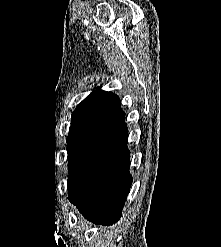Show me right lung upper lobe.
<instances>
[{
    "label": "right lung upper lobe",
    "instance_id": "1",
    "mask_svg": "<svg viewBox=\"0 0 221 247\" xmlns=\"http://www.w3.org/2000/svg\"><path fill=\"white\" fill-rule=\"evenodd\" d=\"M124 115L116 94L96 90L77 106L71 117L70 129L86 130Z\"/></svg>",
    "mask_w": 221,
    "mask_h": 247
}]
</instances>
